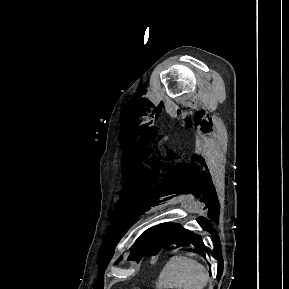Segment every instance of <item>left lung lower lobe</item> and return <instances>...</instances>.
<instances>
[{"instance_id":"left-lung-lower-lobe-1","label":"left lung lower lobe","mask_w":289,"mask_h":289,"mask_svg":"<svg viewBox=\"0 0 289 289\" xmlns=\"http://www.w3.org/2000/svg\"><path fill=\"white\" fill-rule=\"evenodd\" d=\"M165 245L167 244H177L182 245L184 243H191L194 246L205 250L203 242L199 236L189 232L182 228L180 224H171L165 228Z\"/></svg>"}]
</instances>
